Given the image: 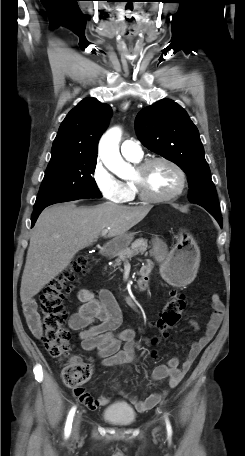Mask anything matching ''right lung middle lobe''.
<instances>
[{"instance_id":"right-lung-middle-lobe-1","label":"right lung middle lobe","mask_w":245,"mask_h":456,"mask_svg":"<svg viewBox=\"0 0 245 456\" xmlns=\"http://www.w3.org/2000/svg\"><path fill=\"white\" fill-rule=\"evenodd\" d=\"M97 157H77L49 163L42 181L35 209L80 198H101L92 174Z\"/></svg>"}]
</instances>
